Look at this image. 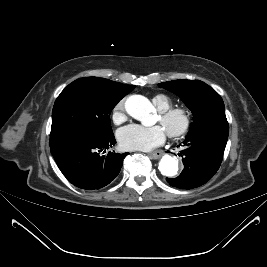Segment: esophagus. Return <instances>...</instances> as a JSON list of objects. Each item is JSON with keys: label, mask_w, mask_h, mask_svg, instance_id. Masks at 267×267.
<instances>
[{"label": "esophagus", "mask_w": 267, "mask_h": 267, "mask_svg": "<svg viewBox=\"0 0 267 267\" xmlns=\"http://www.w3.org/2000/svg\"><path fill=\"white\" fill-rule=\"evenodd\" d=\"M149 155L153 159H159L160 157H162L164 155V152L163 151H155L153 153H150Z\"/></svg>", "instance_id": "esophagus-1"}]
</instances>
